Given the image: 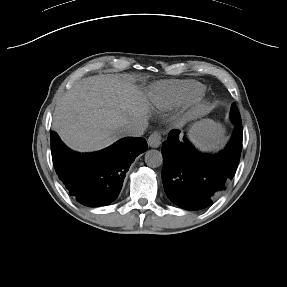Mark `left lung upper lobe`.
Wrapping results in <instances>:
<instances>
[{"instance_id":"obj_1","label":"left lung upper lobe","mask_w":287,"mask_h":287,"mask_svg":"<svg viewBox=\"0 0 287 287\" xmlns=\"http://www.w3.org/2000/svg\"><path fill=\"white\" fill-rule=\"evenodd\" d=\"M231 119L234 121V120H238V119H241L240 118V114H239V111L236 107L235 104H232V107H231Z\"/></svg>"}]
</instances>
